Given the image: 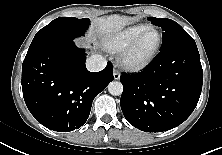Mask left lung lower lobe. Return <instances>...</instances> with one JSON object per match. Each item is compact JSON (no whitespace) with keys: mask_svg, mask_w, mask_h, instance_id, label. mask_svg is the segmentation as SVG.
Segmentation results:
<instances>
[{"mask_svg":"<svg viewBox=\"0 0 222 155\" xmlns=\"http://www.w3.org/2000/svg\"><path fill=\"white\" fill-rule=\"evenodd\" d=\"M124 117L145 132H161L183 123L195 109L203 70L196 45L160 50L138 74L120 76Z\"/></svg>","mask_w":222,"mask_h":155,"instance_id":"obj_1","label":"left lung lower lobe"}]
</instances>
